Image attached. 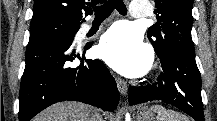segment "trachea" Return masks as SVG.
<instances>
[{"label":"trachea","instance_id":"obj_1","mask_svg":"<svg viewBox=\"0 0 217 121\" xmlns=\"http://www.w3.org/2000/svg\"><path fill=\"white\" fill-rule=\"evenodd\" d=\"M116 9L120 14L126 15L127 8L122 0H108L103 5L95 7V19H105Z\"/></svg>","mask_w":217,"mask_h":121}]
</instances>
